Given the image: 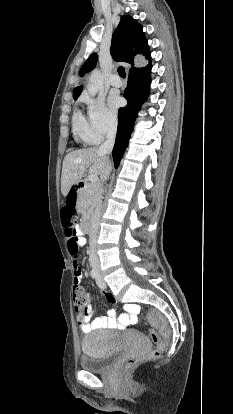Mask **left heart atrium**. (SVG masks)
Listing matches in <instances>:
<instances>
[{
  "label": "left heart atrium",
  "instance_id": "left-heart-atrium-1",
  "mask_svg": "<svg viewBox=\"0 0 233 414\" xmlns=\"http://www.w3.org/2000/svg\"><path fill=\"white\" fill-rule=\"evenodd\" d=\"M108 102L110 107L115 111L119 109L123 104L122 97L118 93H111L108 98Z\"/></svg>",
  "mask_w": 233,
  "mask_h": 414
}]
</instances>
